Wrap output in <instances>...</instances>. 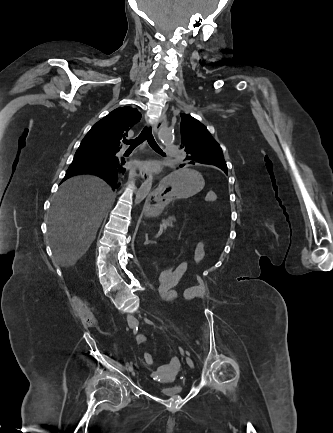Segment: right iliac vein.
I'll list each match as a JSON object with an SVG mask.
<instances>
[{
	"label": "right iliac vein",
	"mask_w": 333,
	"mask_h": 433,
	"mask_svg": "<svg viewBox=\"0 0 333 433\" xmlns=\"http://www.w3.org/2000/svg\"><path fill=\"white\" fill-rule=\"evenodd\" d=\"M130 327H131V328H134V327H135V325H134V324H131V325H130ZM128 370H129L130 372H132V371H133V367H132V365H131V366H129Z\"/></svg>",
	"instance_id": "obj_1"
}]
</instances>
